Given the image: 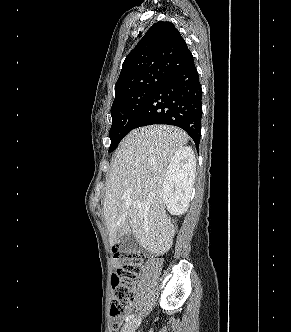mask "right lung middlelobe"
Listing matches in <instances>:
<instances>
[{
    "mask_svg": "<svg viewBox=\"0 0 291 332\" xmlns=\"http://www.w3.org/2000/svg\"><path fill=\"white\" fill-rule=\"evenodd\" d=\"M161 81H154L146 89L132 92L115 100L111 107L112 126L110 129L111 145L109 152L116 149L123 137L130 132L134 118L154 93Z\"/></svg>",
    "mask_w": 291,
    "mask_h": 332,
    "instance_id": "right-lung-middle-lobe-1",
    "label": "right lung middle lobe"
}]
</instances>
